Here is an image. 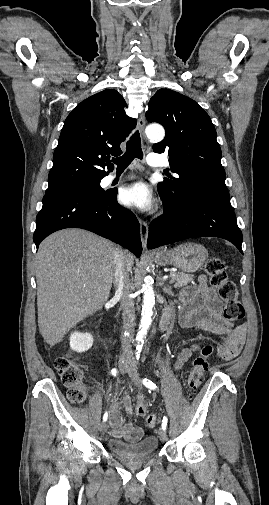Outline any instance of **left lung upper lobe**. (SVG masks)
<instances>
[{
  "label": "left lung upper lobe",
  "instance_id": "left-lung-upper-lobe-1",
  "mask_svg": "<svg viewBox=\"0 0 269 505\" xmlns=\"http://www.w3.org/2000/svg\"><path fill=\"white\" fill-rule=\"evenodd\" d=\"M148 106L147 120L160 123L166 131L153 151L168 153L171 170L179 176L158 183L160 195L178 201L194 186L227 190L222 153L209 115L194 100L170 89L158 90Z\"/></svg>",
  "mask_w": 269,
  "mask_h": 505
}]
</instances>
